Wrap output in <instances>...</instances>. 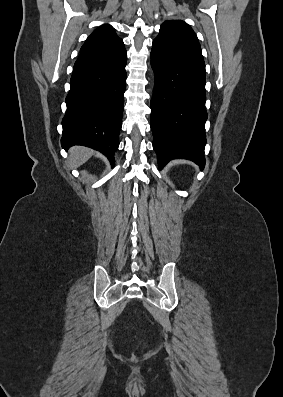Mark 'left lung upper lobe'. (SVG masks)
<instances>
[{"mask_svg": "<svg viewBox=\"0 0 283 397\" xmlns=\"http://www.w3.org/2000/svg\"><path fill=\"white\" fill-rule=\"evenodd\" d=\"M160 48L172 53L198 72L205 74L201 47L192 28L182 20L165 21L153 41Z\"/></svg>", "mask_w": 283, "mask_h": 397, "instance_id": "obj_1", "label": "left lung upper lobe"}]
</instances>
